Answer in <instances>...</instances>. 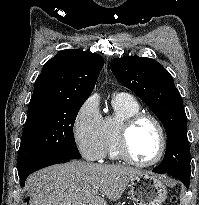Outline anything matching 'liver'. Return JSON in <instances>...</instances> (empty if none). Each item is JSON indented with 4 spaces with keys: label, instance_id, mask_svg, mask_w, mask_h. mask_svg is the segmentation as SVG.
Returning a JSON list of instances; mask_svg holds the SVG:
<instances>
[{
    "label": "liver",
    "instance_id": "obj_1",
    "mask_svg": "<svg viewBox=\"0 0 199 205\" xmlns=\"http://www.w3.org/2000/svg\"><path fill=\"white\" fill-rule=\"evenodd\" d=\"M141 173L126 166L71 161L34 173L27 187L32 205H106L95 191L116 201L131 179Z\"/></svg>",
    "mask_w": 199,
    "mask_h": 205
}]
</instances>
